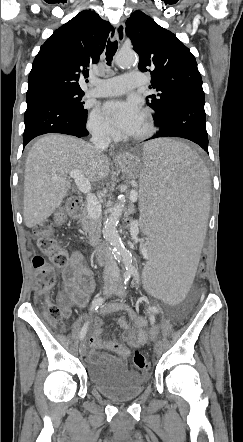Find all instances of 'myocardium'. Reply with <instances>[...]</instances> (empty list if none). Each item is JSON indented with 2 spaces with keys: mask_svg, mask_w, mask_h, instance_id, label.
<instances>
[{
  "mask_svg": "<svg viewBox=\"0 0 243 442\" xmlns=\"http://www.w3.org/2000/svg\"><path fill=\"white\" fill-rule=\"evenodd\" d=\"M143 115L145 116L146 120H147V129L138 135H130L129 139L132 141H144L146 139H148L149 137H151L153 135V133L155 132V120L153 117L152 112L149 109H145L143 111Z\"/></svg>",
  "mask_w": 243,
  "mask_h": 442,
  "instance_id": "myocardium-1",
  "label": "myocardium"
}]
</instances>
